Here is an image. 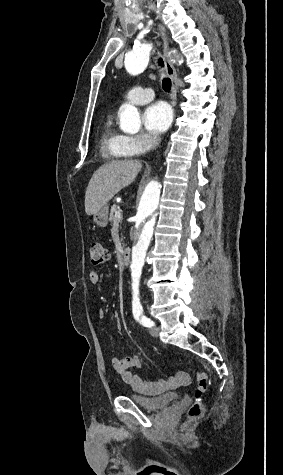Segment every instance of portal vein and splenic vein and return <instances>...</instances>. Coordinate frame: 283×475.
<instances>
[{"instance_id": "portal-vein-and-splenic-vein-1", "label": "portal vein and splenic vein", "mask_w": 283, "mask_h": 475, "mask_svg": "<svg viewBox=\"0 0 283 475\" xmlns=\"http://www.w3.org/2000/svg\"><path fill=\"white\" fill-rule=\"evenodd\" d=\"M115 216H116V218H121L120 212H115Z\"/></svg>"}]
</instances>
